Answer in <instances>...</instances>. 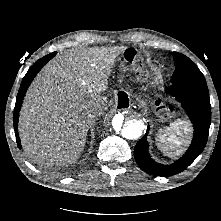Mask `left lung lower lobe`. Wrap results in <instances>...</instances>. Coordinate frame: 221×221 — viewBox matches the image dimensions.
<instances>
[{"label": "left lung lower lobe", "mask_w": 221, "mask_h": 221, "mask_svg": "<svg viewBox=\"0 0 221 221\" xmlns=\"http://www.w3.org/2000/svg\"><path fill=\"white\" fill-rule=\"evenodd\" d=\"M166 93L175 97L181 103L189 116L194 135L186 153L170 165L155 162L149 155L147 135L138 141L134 149V157L138 166L146 173L154 176H172L185 170L204 150L211 123V105L205 78L186 79L172 82L165 89Z\"/></svg>", "instance_id": "left-lung-lower-lobe-1"}]
</instances>
